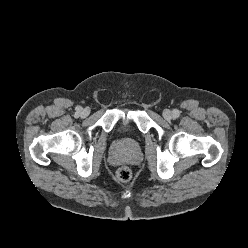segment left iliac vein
<instances>
[{
    "label": "left iliac vein",
    "instance_id": "left-iliac-vein-1",
    "mask_svg": "<svg viewBox=\"0 0 248 248\" xmlns=\"http://www.w3.org/2000/svg\"><path fill=\"white\" fill-rule=\"evenodd\" d=\"M163 117L166 119V120H171L172 117H173V114L172 112L169 110V109H165L163 111Z\"/></svg>",
    "mask_w": 248,
    "mask_h": 248
}]
</instances>
